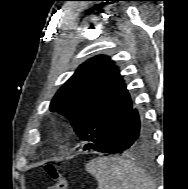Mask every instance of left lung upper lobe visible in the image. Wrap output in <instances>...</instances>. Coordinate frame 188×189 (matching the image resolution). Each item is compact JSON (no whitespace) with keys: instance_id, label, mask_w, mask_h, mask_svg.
Instances as JSON below:
<instances>
[{"instance_id":"1","label":"left lung upper lobe","mask_w":188,"mask_h":189,"mask_svg":"<svg viewBox=\"0 0 188 189\" xmlns=\"http://www.w3.org/2000/svg\"><path fill=\"white\" fill-rule=\"evenodd\" d=\"M118 68L107 56L89 59L58 90L50 110L67 117L79 138L93 148L131 109Z\"/></svg>"}]
</instances>
